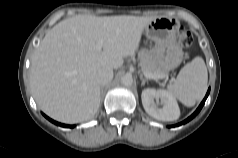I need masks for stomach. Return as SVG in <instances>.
<instances>
[{"label": "stomach", "instance_id": "obj_1", "mask_svg": "<svg viewBox=\"0 0 238 158\" xmlns=\"http://www.w3.org/2000/svg\"><path fill=\"white\" fill-rule=\"evenodd\" d=\"M178 24L170 18H155L145 27L148 39L154 42L151 56L164 72L177 68L183 60V51L177 40Z\"/></svg>", "mask_w": 238, "mask_h": 158}]
</instances>
